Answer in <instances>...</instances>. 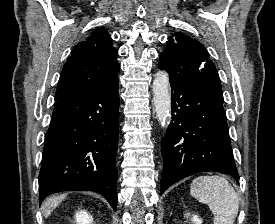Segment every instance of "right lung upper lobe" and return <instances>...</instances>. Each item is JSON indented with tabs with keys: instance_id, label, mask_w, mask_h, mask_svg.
<instances>
[{
	"instance_id": "1",
	"label": "right lung upper lobe",
	"mask_w": 275,
	"mask_h": 224,
	"mask_svg": "<svg viewBox=\"0 0 275 224\" xmlns=\"http://www.w3.org/2000/svg\"><path fill=\"white\" fill-rule=\"evenodd\" d=\"M107 31L93 33L77 44L63 67L55 100L80 96L115 84L120 66Z\"/></svg>"
}]
</instances>
